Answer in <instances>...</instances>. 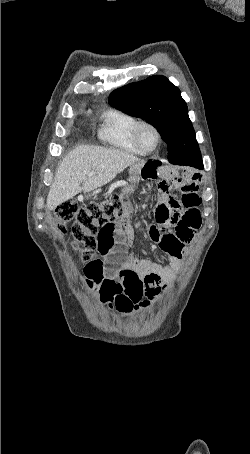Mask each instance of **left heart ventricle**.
Wrapping results in <instances>:
<instances>
[{
	"label": "left heart ventricle",
	"mask_w": 250,
	"mask_h": 454,
	"mask_svg": "<svg viewBox=\"0 0 250 454\" xmlns=\"http://www.w3.org/2000/svg\"><path fill=\"white\" fill-rule=\"evenodd\" d=\"M141 141L145 148L151 149L156 143V137L154 132L148 128L144 127L140 133Z\"/></svg>",
	"instance_id": "1"
}]
</instances>
